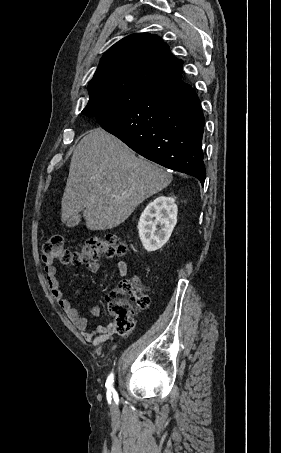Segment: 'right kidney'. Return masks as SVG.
<instances>
[{
	"label": "right kidney",
	"instance_id": "1",
	"mask_svg": "<svg viewBox=\"0 0 281 453\" xmlns=\"http://www.w3.org/2000/svg\"><path fill=\"white\" fill-rule=\"evenodd\" d=\"M177 212L174 196H157L147 204L138 222L139 237L146 251H158L167 243L177 222Z\"/></svg>",
	"mask_w": 281,
	"mask_h": 453
}]
</instances>
